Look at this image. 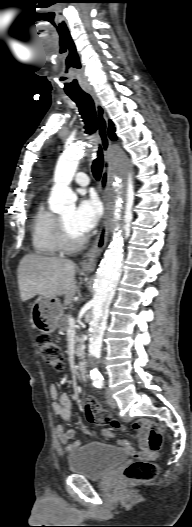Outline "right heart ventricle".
<instances>
[{
	"mask_svg": "<svg viewBox=\"0 0 192 527\" xmlns=\"http://www.w3.org/2000/svg\"><path fill=\"white\" fill-rule=\"evenodd\" d=\"M31 241L34 251L43 256H54L61 252L57 236V216L43 203L40 204L31 221Z\"/></svg>",
	"mask_w": 192,
	"mask_h": 527,
	"instance_id": "right-heart-ventricle-1",
	"label": "right heart ventricle"
}]
</instances>
